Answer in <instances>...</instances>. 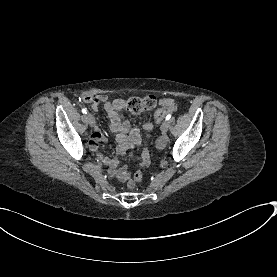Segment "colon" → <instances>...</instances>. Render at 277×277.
Here are the masks:
<instances>
[{"label":"colon","instance_id":"1","mask_svg":"<svg viewBox=\"0 0 277 277\" xmlns=\"http://www.w3.org/2000/svg\"><path fill=\"white\" fill-rule=\"evenodd\" d=\"M156 107V100L153 96L131 97L126 102V108L132 113H139L142 111H150ZM163 111L157 110L155 112V120L157 123H161L163 118ZM143 179V173L139 170L136 171L133 177L128 182L129 188H134L137 183H140Z\"/></svg>","mask_w":277,"mask_h":277}]
</instances>
